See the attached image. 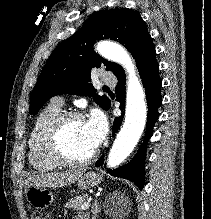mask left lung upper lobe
I'll return each instance as SVG.
<instances>
[{
    "label": "left lung upper lobe",
    "mask_w": 211,
    "mask_h": 219,
    "mask_svg": "<svg viewBox=\"0 0 211 219\" xmlns=\"http://www.w3.org/2000/svg\"><path fill=\"white\" fill-rule=\"evenodd\" d=\"M149 36L137 11L116 8L94 14L48 59L32 90L29 113L36 114L49 98L60 94L94 97L96 103L107 110L111 102L106 96L95 95L96 89L89 83L91 70L104 65L106 70L116 74L122 67L96 54L93 44L110 38L124 45L134 57Z\"/></svg>",
    "instance_id": "obj_1"
}]
</instances>
